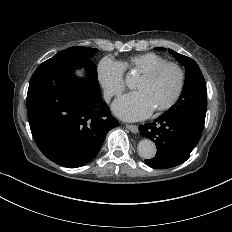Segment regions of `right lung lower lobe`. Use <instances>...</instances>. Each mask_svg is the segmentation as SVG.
I'll return each instance as SVG.
<instances>
[{"label": "right lung lower lobe", "instance_id": "right-lung-lower-lobe-1", "mask_svg": "<svg viewBox=\"0 0 232 232\" xmlns=\"http://www.w3.org/2000/svg\"><path fill=\"white\" fill-rule=\"evenodd\" d=\"M90 59L50 58L38 66L27 93L30 129L41 152L51 161L75 168L98 153L107 133L119 125L100 98ZM84 68L87 77L74 75Z\"/></svg>", "mask_w": 232, "mask_h": 232}]
</instances>
